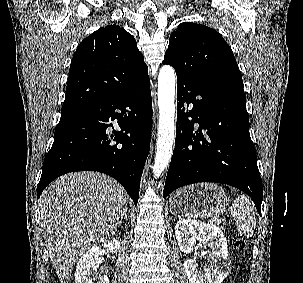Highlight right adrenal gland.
<instances>
[{
	"instance_id": "right-adrenal-gland-1",
	"label": "right adrenal gland",
	"mask_w": 303,
	"mask_h": 283,
	"mask_svg": "<svg viewBox=\"0 0 303 283\" xmlns=\"http://www.w3.org/2000/svg\"><path fill=\"white\" fill-rule=\"evenodd\" d=\"M127 218H128V217H127V208H126L125 211H124V213H123V215L121 216V219H120V221H119L118 226L120 227L121 224H122L123 219L127 220Z\"/></svg>"
}]
</instances>
